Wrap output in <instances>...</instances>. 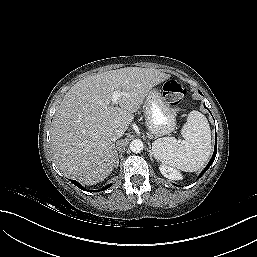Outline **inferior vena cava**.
Returning a JSON list of instances; mask_svg holds the SVG:
<instances>
[{
  "label": "inferior vena cava",
  "instance_id": "602c4592",
  "mask_svg": "<svg viewBox=\"0 0 257 257\" xmlns=\"http://www.w3.org/2000/svg\"><path fill=\"white\" fill-rule=\"evenodd\" d=\"M123 134H124V130H122V129L115 130V132L113 134V137H112V140L115 142L118 138L123 136Z\"/></svg>",
  "mask_w": 257,
  "mask_h": 257
}]
</instances>
